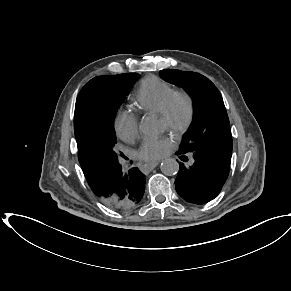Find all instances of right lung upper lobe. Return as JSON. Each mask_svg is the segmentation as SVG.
<instances>
[{
	"instance_id": "1",
	"label": "right lung upper lobe",
	"mask_w": 291,
	"mask_h": 291,
	"mask_svg": "<svg viewBox=\"0 0 291 291\" xmlns=\"http://www.w3.org/2000/svg\"><path fill=\"white\" fill-rule=\"evenodd\" d=\"M74 132L78 147V159L84 175L96 196L106 197L107 185L103 181V171L108 166L103 163L85 144L81 126L75 111L74 114Z\"/></svg>"
}]
</instances>
